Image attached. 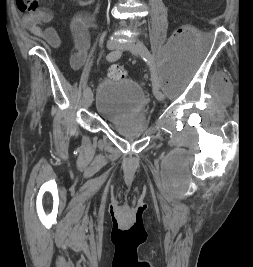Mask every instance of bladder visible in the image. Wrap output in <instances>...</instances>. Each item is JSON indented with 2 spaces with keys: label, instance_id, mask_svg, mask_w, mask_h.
I'll list each match as a JSON object with an SVG mask.
<instances>
[{
  "label": "bladder",
  "instance_id": "bladder-1",
  "mask_svg": "<svg viewBox=\"0 0 253 267\" xmlns=\"http://www.w3.org/2000/svg\"><path fill=\"white\" fill-rule=\"evenodd\" d=\"M146 105L142 87L131 79H107L98 86L96 110L106 118L138 115Z\"/></svg>",
  "mask_w": 253,
  "mask_h": 267
}]
</instances>
